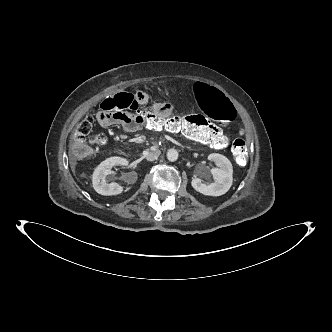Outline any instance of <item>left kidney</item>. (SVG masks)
Here are the masks:
<instances>
[{
  "mask_svg": "<svg viewBox=\"0 0 332 332\" xmlns=\"http://www.w3.org/2000/svg\"><path fill=\"white\" fill-rule=\"evenodd\" d=\"M208 160L213 161L217 167L210 170L215 182L210 184L202 183L201 179L195 177L192 179V187L208 196H221L231 187L233 182V167L231 162L223 155L212 153Z\"/></svg>",
  "mask_w": 332,
  "mask_h": 332,
  "instance_id": "5707ae66",
  "label": "left kidney"
}]
</instances>
